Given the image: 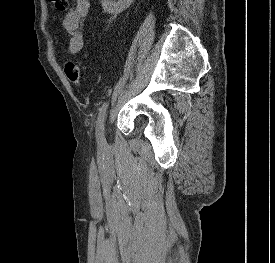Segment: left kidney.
Returning a JSON list of instances; mask_svg holds the SVG:
<instances>
[{
  "label": "left kidney",
  "instance_id": "left-kidney-1",
  "mask_svg": "<svg viewBox=\"0 0 275 263\" xmlns=\"http://www.w3.org/2000/svg\"><path fill=\"white\" fill-rule=\"evenodd\" d=\"M132 2L133 0H101L104 11L113 15L123 12Z\"/></svg>",
  "mask_w": 275,
  "mask_h": 263
}]
</instances>
